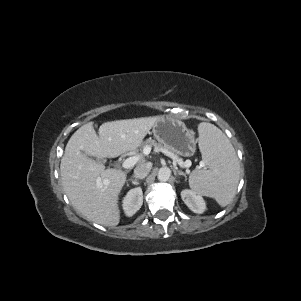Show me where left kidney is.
Returning a JSON list of instances; mask_svg holds the SVG:
<instances>
[{"mask_svg": "<svg viewBox=\"0 0 301 301\" xmlns=\"http://www.w3.org/2000/svg\"><path fill=\"white\" fill-rule=\"evenodd\" d=\"M181 197L188 208L194 213L201 214L206 209V204L201 195L193 190H183Z\"/></svg>", "mask_w": 301, "mask_h": 301, "instance_id": "left-kidney-1", "label": "left kidney"}]
</instances>
